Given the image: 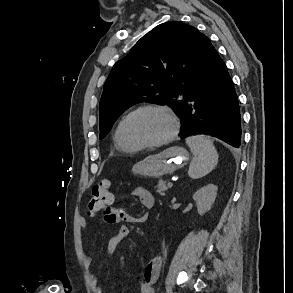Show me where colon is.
<instances>
[{
	"instance_id": "1",
	"label": "colon",
	"mask_w": 293,
	"mask_h": 293,
	"mask_svg": "<svg viewBox=\"0 0 293 293\" xmlns=\"http://www.w3.org/2000/svg\"><path fill=\"white\" fill-rule=\"evenodd\" d=\"M112 200L111 182L104 179L92 188L87 204L88 211L91 213L105 212L112 204Z\"/></svg>"
}]
</instances>
